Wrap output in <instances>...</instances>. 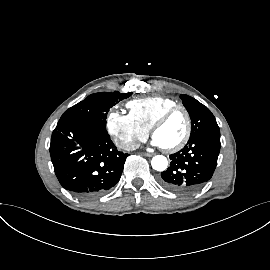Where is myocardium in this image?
Returning a JSON list of instances; mask_svg holds the SVG:
<instances>
[{
	"mask_svg": "<svg viewBox=\"0 0 270 270\" xmlns=\"http://www.w3.org/2000/svg\"><path fill=\"white\" fill-rule=\"evenodd\" d=\"M177 111H182L185 114L186 117V131L184 136L182 137V139L176 143L175 145L171 146V147H162L163 150L167 153H174L176 151H179L180 149H182L187 142L190 139L191 133H192V118L190 115V112L188 111V109L186 107H184L183 105H175L172 106L170 108H168L167 110H165L157 119L156 121L153 123V125L151 126V134L152 136H154L155 132L162 126L164 125L167 120Z\"/></svg>",
	"mask_w": 270,
	"mask_h": 270,
	"instance_id": "f54148a6",
	"label": "myocardium"
}]
</instances>
